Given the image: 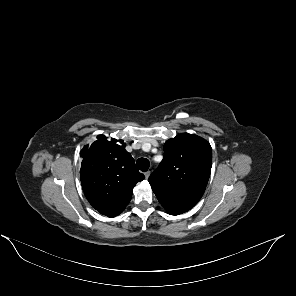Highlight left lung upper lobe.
I'll list each match as a JSON object with an SVG mask.
<instances>
[{
  "mask_svg": "<svg viewBox=\"0 0 296 296\" xmlns=\"http://www.w3.org/2000/svg\"><path fill=\"white\" fill-rule=\"evenodd\" d=\"M211 166L210 144L199 136L182 133L166 141L163 161L149 183L167 212L182 214L201 199Z\"/></svg>",
  "mask_w": 296,
  "mask_h": 296,
  "instance_id": "obj_1",
  "label": "left lung upper lobe"
}]
</instances>
